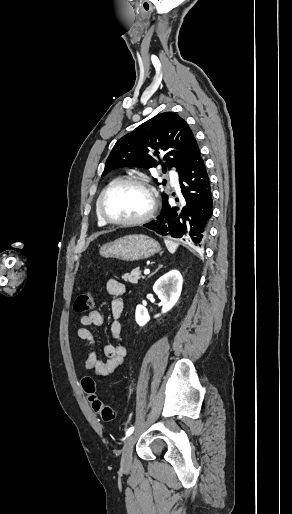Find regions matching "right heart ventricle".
<instances>
[{
    "label": "right heart ventricle",
    "instance_id": "e07e8e85",
    "mask_svg": "<svg viewBox=\"0 0 292 514\" xmlns=\"http://www.w3.org/2000/svg\"><path fill=\"white\" fill-rule=\"evenodd\" d=\"M98 197H97L96 203H95V212H96V217H97V223H98L99 226H105L106 222L99 216L98 210H97Z\"/></svg>",
    "mask_w": 292,
    "mask_h": 514
}]
</instances>
